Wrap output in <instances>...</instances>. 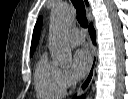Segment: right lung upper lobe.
I'll use <instances>...</instances> for the list:
<instances>
[{
  "label": "right lung upper lobe",
  "mask_w": 128,
  "mask_h": 99,
  "mask_svg": "<svg viewBox=\"0 0 128 99\" xmlns=\"http://www.w3.org/2000/svg\"><path fill=\"white\" fill-rule=\"evenodd\" d=\"M86 4L88 5L87 0H85ZM41 25H42V17H39L36 25L34 27V31H33V37H32V42H31V50H30V56L33 55L34 50L36 48V44L38 43L39 40V35H40V31H41Z\"/></svg>",
  "instance_id": "1"
}]
</instances>
